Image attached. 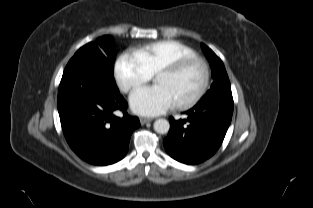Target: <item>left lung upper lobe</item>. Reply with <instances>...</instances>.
<instances>
[{
  "instance_id": "left-lung-upper-lobe-1",
  "label": "left lung upper lobe",
  "mask_w": 313,
  "mask_h": 208,
  "mask_svg": "<svg viewBox=\"0 0 313 208\" xmlns=\"http://www.w3.org/2000/svg\"><path fill=\"white\" fill-rule=\"evenodd\" d=\"M202 50L208 59L214 82L211 85L210 90L202 97L201 100L215 97V96H228L232 97L230 81L226 73L225 67L221 59L206 45L201 44Z\"/></svg>"
}]
</instances>
